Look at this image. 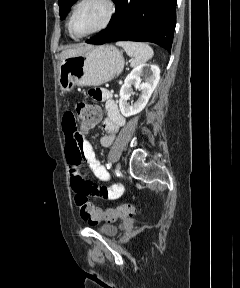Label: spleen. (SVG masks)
<instances>
[{
  "label": "spleen",
  "mask_w": 240,
  "mask_h": 288,
  "mask_svg": "<svg viewBox=\"0 0 240 288\" xmlns=\"http://www.w3.org/2000/svg\"><path fill=\"white\" fill-rule=\"evenodd\" d=\"M117 46L122 47L131 59V66L137 67L146 63L154 55L153 49L147 44L134 41H118Z\"/></svg>",
  "instance_id": "3e777b00"
}]
</instances>
